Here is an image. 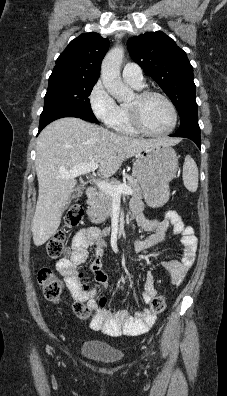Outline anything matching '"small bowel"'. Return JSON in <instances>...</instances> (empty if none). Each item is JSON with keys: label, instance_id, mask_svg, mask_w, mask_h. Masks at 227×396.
I'll use <instances>...</instances> for the list:
<instances>
[{"label": "small bowel", "instance_id": "obj_1", "mask_svg": "<svg viewBox=\"0 0 227 396\" xmlns=\"http://www.w3.org/2000/svg\"><path fill=\"white\" fill-rule=\"evenodd\" d=\"M130 208L138 226L144 231L152 233L146 238L136 240L134 244L136 252H144L163 245L170 226L175 234L181 235L183 245L182 258L180 260H171L164 265L171 282L174 285L181 284L194 264L196 257L198 241L193 228L186 225L181 216L174 210L167 211L164 220L159 221L145 217L142 203L137 199L131 201ZM97 234L98 232L94 228L79 230L73 237L70 257L60 259L56 263V269L64 277L66 286L74 300L85 302L90 306L92 305V300L98 294L97 287L102 290L111 288L101 264L105 242L99 240ZM91 245L95 247L96 256L89 267L97 287L85 282L84 272L79 269L86 262L87 250ZM155 295L154 278L149 273L143 285V303L145 305L150 304ZM155 321L156 315L149 308L143 311H135L134 314H130L127 310L111 311L109 309H100L90 320V327L94 331H99L109 336H136L147 332Z\"/></svg>", "mask_w": 227, "mask_h": 396}]
</instances>
